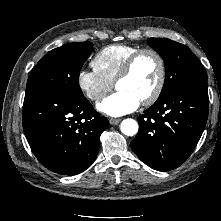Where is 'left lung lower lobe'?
Returning a JSON list of instances; mask_svg holds the SVG:
<instances>
[{"label":"left lung lower lobe","mask_w":221,"mask_h":221,"mask_svg":"<svg viewBox=\"0 0 221 221\" xmlns=\"http://www.w3.org/2000/svg\"><path fill=\"white\" fill-rule=\"evenodd\" d=\"M207 117V81L185 84L138 117L139 131L131 147L152 169H175L193 152Z\"/></svg>","instance_id":"0a47b994"}]
</instances>
